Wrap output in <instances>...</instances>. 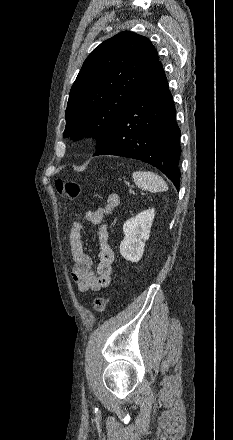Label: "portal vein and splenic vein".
Here are the masks:
<instances>
[{
    "label": "portal vein and splenic vein",
    "mask_w": 233,
    "mask_h": 440,
    "mask_svg": "<svg viewBox=\"0 0 233 440\" xmlns=\"http://www.w3.org/2000/svg\"><path fill=\"white\" fill-rule=\"evenodd\" d=\"M132 194H135V192L133 191V192H131ZM145 192H142V194H144Z\"/></svg>",
    "instance_id": "1"
}]
</instances>
